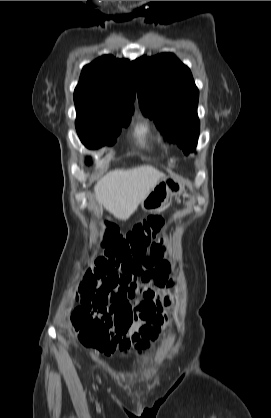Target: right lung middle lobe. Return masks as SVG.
<instances>
[{
	"mask_svg": "<svg viewBox=\"0 0 271 418\" xmlns=\"http://www.w3.org/2000/svg\"><path fill=\"white\" fill-rule=\"evenodd\" d=\"M76 129L82 143L89 149L103 145H113L121 132L127 127L132 114L110 115L76 108Z\"/></svg>",
	"mask_w": 271,
	"mask_h": 418,
	"instance_id": "right-lung-middle-lobe-1",
	"label": "right lung middle lobe"
}]
</instances>
